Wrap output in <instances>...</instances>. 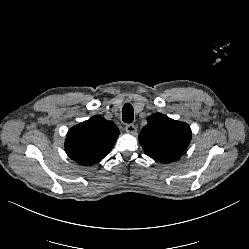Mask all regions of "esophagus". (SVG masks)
<instances>
[{
  "mask_svg": "<svg viewBox=\"0 0 249 249\" xmlns=\"http://www.w3.org/2000/svg\"><path fill=\"white\" fill-rule=\"evenodd\" d=\"M127 133L135 135L137 133V128L134 124H127L125 127Z\"/></svg>",
  "mask_w": 249,
  "mask_h": 249,
  "instance_id": "obj_1",
  "label": "esophagus"
}]
</instances>
